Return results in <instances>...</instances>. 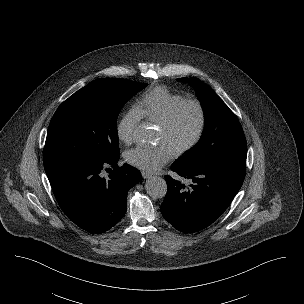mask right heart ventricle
I'll return each instance as SVG.
<instances>
[{
  "label": "right heart ventricle",
  "instance_id": "1",
  "mask_svg": "<svg viewBox=\"0 0 304 304\" xmlns=\"http://www.w3.org/2000/svg\"><path fill=\"white\" fill-rule=\"evenodd\" d=\"M184 99L180 94L174 93L166 87L157 86L144 92L137 100L134 108L141 118L159 124L179 101Z\"/></svg>",
  "mask_w": 304,
  "mask_h": 304
}]
</instances>
